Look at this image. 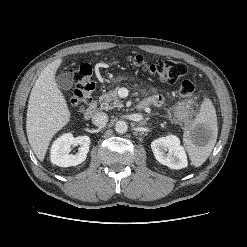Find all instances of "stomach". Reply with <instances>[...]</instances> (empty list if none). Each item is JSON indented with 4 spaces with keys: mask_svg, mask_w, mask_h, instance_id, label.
I'll list each match as a JSON object with an SVG mask.
<instances>
[{
    "mask_svg": "<svg viewBox=\"0 0 247 247\" xmlns=\"http://www.w3.org/2000/svg\"><path fill=\"white\" fill-rule=\"evenodd\" d=\"M185 125V130L189 131V132H193L195 131L197 128H199L200 126H194V120L189 118V117H180Z\"/></svg>",
    "mask_w": 247,
    "mask_h": 247,
    "instance_id": "obj_1",
    "label": "stomach"
}]
</instances>
